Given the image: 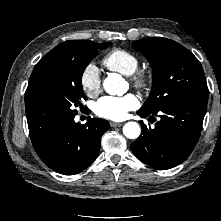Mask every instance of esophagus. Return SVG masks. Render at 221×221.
Listing matches in <instances>:
<instances>
[{
  "instance_id": "1",
  "label": "esophagus",
  "mask_w": 221,
  "mask_h": 221,
  "mask_svg": "<svg viewBox=\"0 0 221 221\" xmlns=\"http://www.w3.org/2000/svg\"><path fill=\"white\" fill-rule=\"evenodd\" d=\"M122 125H123V123L110 122V126H111V127H120V126H122Z\"/></svg>"
}]
</instances>
